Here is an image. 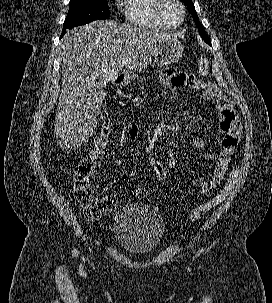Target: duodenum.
<instances>
[{"label": "duodenum", "mask_w": 272, "mask_h": 303, "mask_svg": "<svg viewBox=\"0 0 272 303\" xmlns=\"http://www.w3.org/2000/svg\"><path fill=\"white\" fill-rule=\"evenodd\" d=\"M130 79V76L127 74H120L114 79V84L118 87L125 86Z\"/></svg>", "instance_id": "1"}]
</instances>
